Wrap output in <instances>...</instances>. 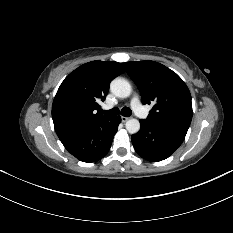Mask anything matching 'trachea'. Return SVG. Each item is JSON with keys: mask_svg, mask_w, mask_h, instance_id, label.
Wrapping results in <instances>:
<instances>
[{"mask_svg": "<svg viewBox=\"0 0 233 233\" xmlns=\"http://www.w3.org/2000/svg\"><path fill=\"white\" fill-rule=\"evenodd\" d=\"M102 113L105 115H108V116H115V115H118L120 113V111L118 108L115 107V108H112V109L107 110V111H102ZM121 114L125 117H129L132 114V111L130 108L124 107L121 110Z\"/></svg>", "mask_w": 233, "mask_h": 233, "instance_id": "3493384b", "label": "trachea"}]
</instances>
